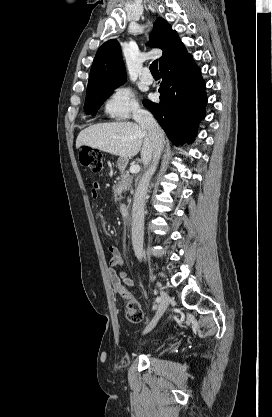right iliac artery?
<instances>
[{"label": "right iliac artery", "instance_id": "right-iliac-artery-1", "mask_svg": "<svg viewBox=\"0 0 272 417\" xmlns=\"http://www.w3.org/2000/svg\"><path fill=\"white\" fill-rule=\"evenodd\" d=\"M160 300L161 299L159 297H157L155 301L158 303V302H160Z\"/></svg>", "mask_w": 272, "mask_h": 417}]
</instances>
